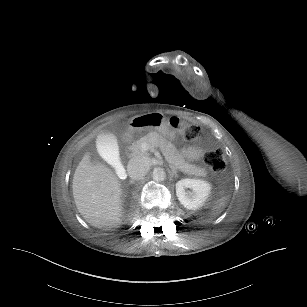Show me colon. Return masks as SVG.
I'll return each mask as SVG.
<instances>
[{"label":"colon","mask_w":307,"mask_h":307,"mask_svg":"<svg viewBox=\"0 0 307 307\" xmlns=\"http://www.w3.org/2000/svg\"><path fill=\"white\" fill-rule=\"evenodd\" d=\"M169 124L173 129L180 131L183 138L188 142H195L200 138V129L194 124L186 123L177 117L170 118ZM204 162L214 175L222 176L225 173L226 159L221 151L211 150L206 152Z\"/></svg>","instance_id":"1"}]
</instances>
